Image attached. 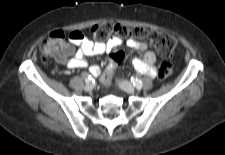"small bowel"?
Masks as SVG:
<instances>
[{
  "instance_id": "c3829d8e",
  "label": "small bowel",
  "mask_w": 225,
  "mask_h": 155,
  "mask_svg": "<svg viewBox=\"0 0 225 155\" xmlns=\"http://www.w3.org/2000/svg\"><path fill=\"white\" fill-rule=\"evenodd\" d=\"M71 41L77 45V50L74 56L67 61L68 68H85L88 66L86 57L91 55H99L110 53L116 46L121 43V40L111 38L105 42H93L87 39V35L82 30H75L71 34ZM127 45L140 53L142 56L135 58L132 61L134 68L139 72L149 77L156 75V54L149 49L147 41H139L136 38H129L126 41ZM89 71L92 75L98 76L100 68L97 65L89 66Z\"/></svg>"
}]
</instances>
